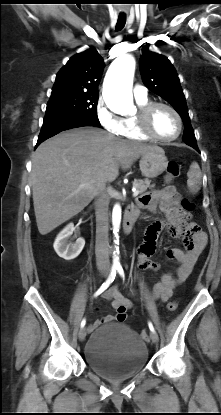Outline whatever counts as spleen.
<instances>
[{
    "instance_id": "spleen-1",
    "label": "spleen",
    "mask_w": 221,
    "mask_h": 415,
    "mask_svg": "<svg viewBox=\"0 0 221 415\" xmlns=\"http://www.w3.org/2000/svg\"><path fill=\"white\" fill-rule=\"evenodd\" d=\"M188 180L187 186L191 193L196 194L201 188V170L198 163L193 162L190 166V169L187 173Z\"/></svg>"
}]
</instances>
